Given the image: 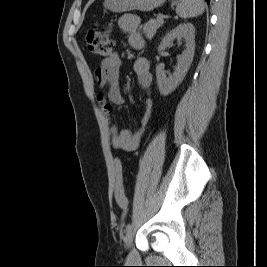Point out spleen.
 Masks as SVG:
<instances>
[{
    "instance_id": "1",
    "label": "spleen",
    "mask_w": 267,
    "mask_h": 267,
    "mask_svg": "<svg viewBox=\"0 0 267 267\" xmlns=\"http://www.w3.org/2000/svg\"><path fill=\"white\" fill-rule=\"evenodd\" d=\"M205 4L203 0H180L176 7V13L181 18L196 17L204 12Z\"/></svg>"
}]
</instances>
